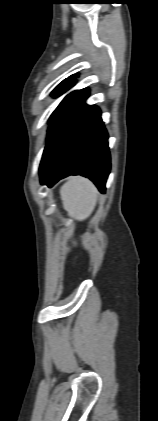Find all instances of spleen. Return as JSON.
<instances>
[{"mask_svg":"<svg viewBox=\"0 0 158 421\" xmlns=\"http://www.w3.org/2000/svg\"><path fill=\"white\" fill-rule=\"evenodd\" d=\"M63 208L77 220L88 218L97 202V190L87 179L72 177L60 188Z\"/></svg>","mask_w":158,"mask_h":421,"instance_id":"1","label":"spleen"}]
</instances>
